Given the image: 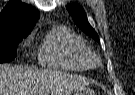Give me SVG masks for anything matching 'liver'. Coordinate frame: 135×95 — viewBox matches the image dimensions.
Masks as SVG:
<instances>
[{"mask_svg": "<svg viewBox=\"0 0 135 95\" xmlns=\"http://www.w3.org/2000/svg\"><path fill=\"white\" fill-rule=\"evenodd\" d=\"M88 84L66 72L0 64V95H70Z\"/></svg>", "mask_w": 135, "mask_h": 95, "instance_id": "liver-1", "label": "liver"}]
</instances>
